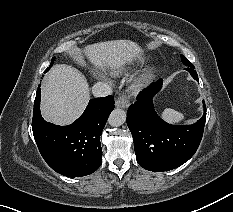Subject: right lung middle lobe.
Segmentation results:
<instances>
[{
	"mask_svg": "<svg viewBox=\"0 0 233 212\" xmlns=\"http://www.w3.org/2000/svg\"><path fill=\"white\" fill-rule=\"evenodd\" d=\"M53 61H54V58H52V61H51L50 67H51V65H52ZM48 69H49V68H48ZM48 69H47V70H48Z\"/></svg>",
	"mask_w": 233,
	"mask_h": 212,
	"instance_id": "right-lung-middle-lobe-1",
	"label": "right lung middle lobe"
}]
</instances>
